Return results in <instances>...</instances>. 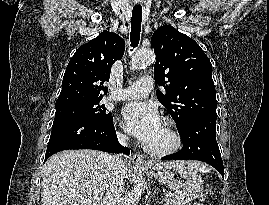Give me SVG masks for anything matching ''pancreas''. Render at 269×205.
Returning <instances> with one entry per match:
<instances>
[{"label": "pancreas", "instance_id": "pancreas-1", "mask_svg": "<svg viewBox=\"0 0 269 205\" xmlns=\"http://www.w3.org/2000/svg\"><path fill=\"white\" fill-rule=\"evenodd\" d=\"M163 205H184L174 195H169L164 199Z\"/></svg>", "mask_w": 269, "mask_h": 205}]
</instances>
